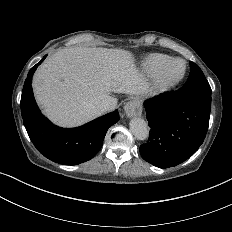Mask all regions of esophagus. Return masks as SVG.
I'll return each instance as SVG.
<instances>
[{
	"instance_id": "1",
	"label": "esophagus",
	"mask_w": 232,
	"mask_h": 232,
	"mask_svg": "<svg viewBox=\"0 0 232 232\" xmlns=\"http://www.w3.org/2000/svg\"><path fill=\"white\" fill-rule=\"evenodd\" d=\"M124 111L128 118L140 116L142 114L141 99L136 97L126 102V104L124 105Z\"/></svg>"
}]
</instances>
